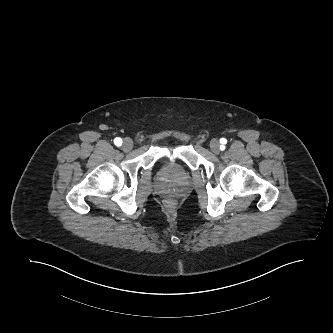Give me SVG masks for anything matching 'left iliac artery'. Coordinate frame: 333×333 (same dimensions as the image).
Returning a JSON list of instances; mask_svg holds the SVG:
<instances>
[{"instance_id":"left-iliac-artery-1","label":"left iliac artery","mask_w":333,"mask_h":333,"mask_svg":"<svg viewBox=\"0 0 333 333\" xmlns=\"http://www.w3.org/2000/svg\"><path fill=\"white\" fill-rule=\"evenodd\" d=\"M220 143H221V146H220V149H224L225 148V144L227 143V140L225 138H221L220 139Z\"/></svg>"}]
</instances>
